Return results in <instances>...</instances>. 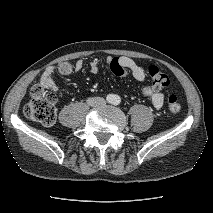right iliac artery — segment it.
I'll return each instance as SVG.
<instances>
[{
	"instance_id": "1",
	"label": "right iliac artery",
	"mask_w": 213,
	"mask_h": 213,
	"mask_svg": "<svg viewBox=\"0 0 213 213\" xmlns=\"http://www.w3.org/2000/svg\"><path fill=\"white\" fill-rule=\"evenodd\" d=\"M106 99L108 102H111L113 100V97L111 95H108Z\"/></svg>"
}]
</instances>
